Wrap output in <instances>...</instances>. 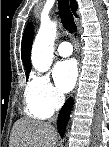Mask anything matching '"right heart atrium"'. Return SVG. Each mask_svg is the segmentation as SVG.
I'll list each match as a JSON object with an SVG mask.
<instances>
[{
    "instance_id": "obj_1",
    "label": "right heart atrium",
    "mask_w": 109,
    "mask_h": 147,
    "mask_svg": "<svg viewBox=\"0 0 109 147\" xmlns=\"http://www.w3.org/2000/svg\"><path fill=\"white\" fill-rule=\"evenodd\" d=\"M26 97L46 114L56 112L64 102V96L50 82L47 75L38 74L28 84Z\"/></svg>"
}]
</instances>
